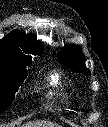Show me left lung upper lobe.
<instances>
[{
	"label": "left lung upper lobe",
	"mask_w": 108,
	"mask_h": 127,
	"mask_svg": "<svg viewBox=\"0 0 108 127\" xmlns=\"http://www.w3.org/2000/svg\"><path fill=\"white\" fill-rule=\"evenodd\" d=\"M59 60L68 68L79 73L90 75V71L84 64V55L82 50L77 46H69L67 49L59 53Z\"/></svg>",
	"instance_id": "obj_1"
}]
</instances>
